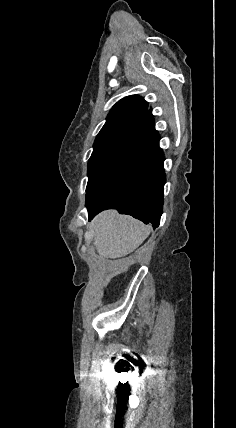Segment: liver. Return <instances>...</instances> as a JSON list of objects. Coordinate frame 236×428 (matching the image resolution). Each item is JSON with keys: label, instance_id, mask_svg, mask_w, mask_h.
<instances>
[{"label": "liver", "instance_id": "6515ba94", "mask_svg": "<svg viewBox=\"0 0 236 428\" xmlns=\"http://www.w3.org/2000/svg\"><path fill=\"white\" fill-rule=\"evenodd\" d=\"M94 232V246L102 258H124L137 250L150 236V226L134 220L131 216H121L116 210H107L91 222Z\"/></svg>", "mask_w": 236, "mask_h": 428}]
</instances>
